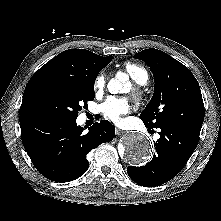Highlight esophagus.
Instances as JSON below:
<instances>
[{"instance_id": "1", "label": "esophagus", "mask_w": 221, "mask_h": 221, "mask_svg": "<svg viewBox=\"0 0 221 221\" xmlns=\"http://www.w3.org/2000/svg\"><path fill=\"white\" fill-rule=\"evenodd\" d=\"M115 133H116L117 136H121V135H123V134L125 133V131H123V130L117 128V129L115 130Z\"/></svg>"}]
</instances>
